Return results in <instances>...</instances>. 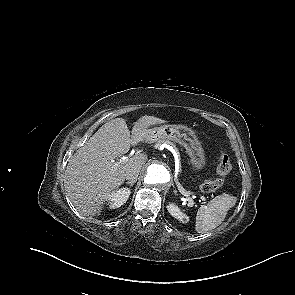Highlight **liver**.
Listing matches in <instances>:
<instances>
[{
    "label": "liver",
    "mask_w": 295,
    "mask_h": 295,
    "mask_svg": "<svg viewBox=\"0 0 295 295\" xmlns=\"http://www.w3.org/2000/svg\"><path fill=\"white\" fill-rule=\"evenodd\" d=\"M164 120L154 116H142L131 131L126 120L115 118L98 131L70 158L65 170V188L67 194L83 215H100L103 204L110 200L111 194L125 180L130 168L140 169L147 161L144 154H136L118 168L111 161L126 154L131 144L145 141L149 127L163 124Z\"/></svg>",
    "instance_id": "1"
}]
</instances>
